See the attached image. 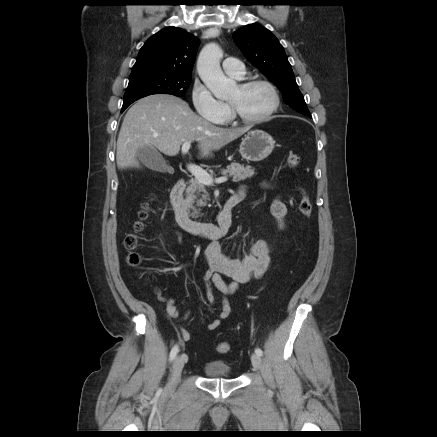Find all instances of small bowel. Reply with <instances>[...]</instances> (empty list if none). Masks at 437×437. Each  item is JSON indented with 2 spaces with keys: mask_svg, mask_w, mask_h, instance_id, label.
Here are the masks:
<instances>
[{
  "mask_svg": "<svg viewBox=\"0 0 437 437\" xmlns=\"http://www.w3.org/2000/svg\"><path fill=\"white\" fill-rule=\"evenodd\" d=\"M246 190L241 187L236 195L241 199L245 196ZM272 215L278 222L280 228L284 227V218L287 213L286 205L280 199H275L271 206ZM179 242L180 235L177 233ZM208 269L204 276L206 299L209 304L215 303L213 289H217L221 295V311L218 316L207 325L208 330L217 329L223 320L229 317L231 306L228 296L233 294L239 285L249 282L252 279L261 277L266 271L270 261V247L264 240H256L247 244L244 255L241 259L230 258L221 253L218 245L212 244L206 251ZM223 276L229 277L232 281L226 282ZM166 314L175 320H185L189 313L183 315L178 311L175 299L166 300ZM181 338L184 341L190 339V333L185 329H180Z\"/></svg>",
  "mask_w": 437,
  "mask_h": 437,
  "instance_id": "obj_1",
  "label": "small bowel"
}]
</instances>
